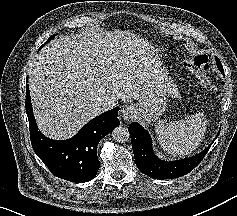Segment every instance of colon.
Segmentation results:
<instances>
[{
  "label": "colon",
  "mask_w": 237,
  "mask_h": 216,
  "mask_svg": "<svg viewBox=\"0 0 237 216\" xmlns=\"http://www.w3.org/2000/svg\"><path fill=\"white\" fill-rule=\"evenodd\" d=\"M185 66L198 73L204 80H208L210 67L208 58L205 55L188 58L185 61Z\"/></svg>",
  "instance_id": "1"
}]
</instances>
